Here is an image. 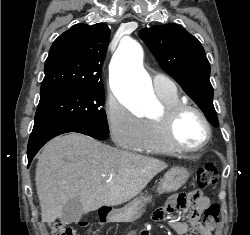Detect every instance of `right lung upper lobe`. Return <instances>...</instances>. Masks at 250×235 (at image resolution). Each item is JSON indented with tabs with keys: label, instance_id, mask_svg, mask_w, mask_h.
<instances>
[{
	"label": "right lung upper lobe",
	"instance_id": "1",
	"mask_svg": "<svg viewBox=\"0 0 250 235\" xmlns=\"http://www.w3.org/2000/svg\"><path fill=\"white\" fill-rule=\"evenodd\" d=\"M110 38L104 23L76 24L52 44L45 62L41 97L103 87L101 69Z\"/></svg>",
	"mask_w": 250,
	"mask_h": 235
}]
</instances>
